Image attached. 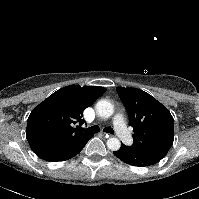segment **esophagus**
Here are the masks:
<instances>
[{
	"mask_svg": "<svg viewBox=\"0 0 199 199\" xmlns=\"http://www.w3.org/2000/svg\"><path fill=\"white\" fill-rule=\"evenodd\" d=\"M105 138H109L111 135L108 133H101Z\"/></svg>",
	"mask_w": 199,
	"mask_h": 199,
	"instance_id": "34e87169",
	"label": "esophagus"
}]
</instances>
